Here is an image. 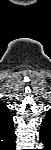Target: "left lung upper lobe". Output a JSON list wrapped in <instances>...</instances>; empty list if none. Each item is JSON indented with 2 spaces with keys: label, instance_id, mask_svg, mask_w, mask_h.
<instances>
[{
  "label": "left lung upper lobe",
  "instance_id": "5c2ea615",
  "mask_svg": "<svg viewBox=\"0 0 51 150\" xmlns=\"http://www.w3.org/2000/svg\"><path fill=\"white\" fill-rule=\"evenodd\" d=\"M44 136L51 137V110L48 111L47 116L44 118L41 124V130Z\"/></svg>",
  "mask_w": 51,
  "mask_h": 150
}]
</instances>
